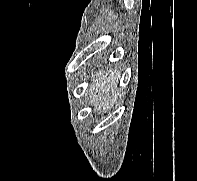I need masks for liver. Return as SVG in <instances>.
<instances>
[{"instance_id": "1", "label": "liver", "mask_w": 197, "mask_h": 181, "mask_svg": "<svg viewBox=\"0 0 197 181\" xmlns=\"http://www.w3.org/2000/svg\"><path fill=\"white\" fill-rule=\"evenodd\" d=\"M92 83L87 92L90 95V104H94L95 111L101 113L109 110L119 96L118 83L120 75L116 70H99L92 75Z\"/></svg>"}]
</instances>
